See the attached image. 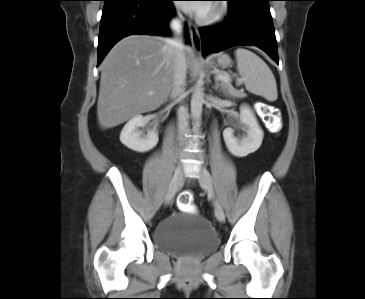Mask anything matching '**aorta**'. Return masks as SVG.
I'll use <instances>...</instances> for the list:
<instances>
[{
	"label": "aorta",
	"instance_id": "762f6f07",
	"mask_svg": "<svg viewBox=\"0 0 365 299\" xmlns=\"http://www.w3.org/2000/svg\"><path fill=\"white\" fill-rule=\"evenodd\" d=\"M203 95V81L198 80L197 84L193 88V94L191 98V116L194 121V127L196 131L199 130L202 116V106L204 102Z\"/></svg>",
	"mask_w": 365,
	"mask_h": 299
}]
</instances>
